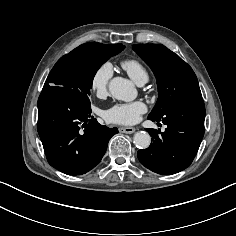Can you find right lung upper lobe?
Masks as SVG:
<instances>
[{
  "label": "right lung upper lobe",
  "mask_w": 236,
  "mask_h": 236,
  "mask_svg": "<svg viewBox=\"0 0 236 236\" xmlns=\"http://www.w3.org/2000/svg\"><path fill=\"white\" fill-rule=\"evenodd\" d=\"M90 43H93V42H90ZM111 46L117 47V48H124V46L122 44H114V45H111Z\"/></svg>",
  "instance_id": "cb5924a9"
}]
</instances>
